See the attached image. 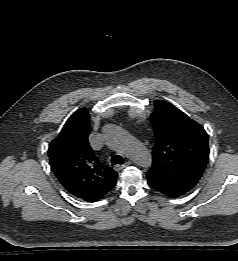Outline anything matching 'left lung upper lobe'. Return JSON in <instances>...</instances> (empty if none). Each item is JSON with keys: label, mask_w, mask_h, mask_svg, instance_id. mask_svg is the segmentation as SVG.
Masks as SVG:
<instances>
[{"label": "left lung upper lobe", "mask_w": 238, "mask_h": 261, "mask_svg": "<svg viewBox=\"0 0 238 261\" xmlns=\"http://www.w3.org/2000/svg\"><path fill=\"white\" fill-rule=\"evenodd\" d=\"M151 114L156 145L148 179L178 195L190 191L201 178L209 157L204 128L171 103L154 101Z\"/></svg>", "instance_id": "obj_1"}]
</instances>
